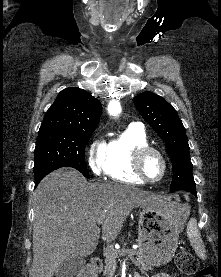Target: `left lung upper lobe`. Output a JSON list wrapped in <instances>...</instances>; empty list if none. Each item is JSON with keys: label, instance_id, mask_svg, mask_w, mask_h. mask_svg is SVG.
I'll use <instances>...</instances> for the list:
<instances>
[{"label": "left lung upper lobe", "instance_id": "obj_1", "mask_svg": "<svg viewBox=\"0 0 221 277\" xmlns=\"http://www.w3.org/2000/svg\"><path fill=\"white\" fill-rule=\"evenodd\" d=\"M133 102L145 121L165 142L173 165L170 191H189L191 187H196L186 131L174 107L151 92L137 95Z\"/></svg>", "mask_w": 221, "mask_h": 277}]
</instances>
